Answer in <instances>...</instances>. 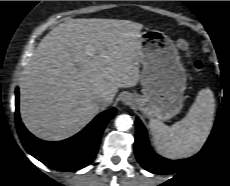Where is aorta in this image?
Here are the masks:
<instances>
[{
    "label": "aorta",
    "instance_id": "762f6f07",
    "mask_svg": "<svg viewBox=\"0 0 230 186\" xmlns=\"http://www.w3.org/2000/svg\"><path fill=\"white\" fill-rule=\"evenodd\" d=\"M115 126L119 131H127L132 126V119L129 115H119L115 120Z\"/></svg>",
    "mask_w": 230,
    "mask_h": 186
}]
</instances>
